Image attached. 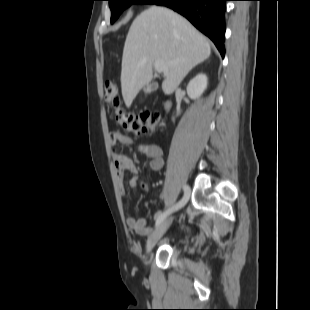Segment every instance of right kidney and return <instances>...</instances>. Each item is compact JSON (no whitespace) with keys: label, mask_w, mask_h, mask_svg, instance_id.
<instances>
[{"label":"right kidney","mask_w":310,"mask_h":310,"mask_svg":"<svg viewBox=\"0 0 310 310\" xmlns=\"http://www.w3.org/2000/svg\"><path fill=\"white\" fill-rule=\"evenodd\" d=\"M208 78L205 74L199 73L187 85V94L191 99H198L206 90Z\"/></svg>","instance_id":"1"}]
</instances>
